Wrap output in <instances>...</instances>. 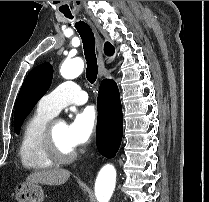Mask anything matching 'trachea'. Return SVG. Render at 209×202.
Listing matches in <instances>:
<instances>
[{"label": "trachea", "mask_w": 209, "mask_h": 202, "mask_svg": "<svg viewBox=\"0 0 209 202\" xmlns=\"http://www.w3.org/2000/svg\"><path fill=\"white\" fill-rule=\"evenodd\" d=\"M69 19H73L71 14L65 15ZM83 43V50L86 59V78L88 82L92 85L96 84L98 67H97V58L95 53V38L90 26L83 22L79 21L75 24Z\"/></svg>", "instance_id": "trachea-1"}]
</instances>
